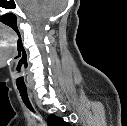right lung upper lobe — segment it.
<instances>
[{
    "instance_id": "right-lung-upper-lobe-1",
    "label": "right lung upper lobe",
    "mask_w": 127,
    "mask_h": 126,
    "mask_svg": "<svg viewBox=\"0 0 127 126\" xmlns=\"http://www.w3.org/2000/svg\"><path fill=\"white\" fill-rule=\"evenodd\" d=\"M48 126H69V124L63 119L52 114L48 117Z\"/></svg>"
}]
</instances>
